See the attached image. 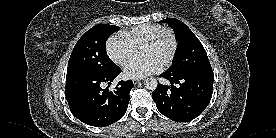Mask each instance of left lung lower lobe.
I'll use <instances>...</instances> for the list:
<instances>
[{"label":"left lung lower lobe","instance_id":"left-lung-lower-lobe-1","mask_svg":"<svg viewBox=\"0 0 276 138\" xmlns=\"http://www.w3.org/2000/svg\"><path fill=\"white\" fill-rule=\"evenodd\" d=\"M160 77L170 85L159 84L152 93L161 114L175 122H187L198 117L209 104L213 92V72L175 75L165 71Z\"/></svg>","mask_w":276,"mask_h":138}]
</instances>
